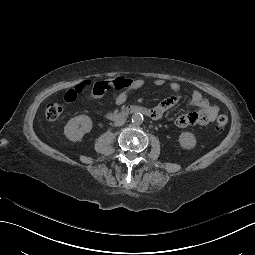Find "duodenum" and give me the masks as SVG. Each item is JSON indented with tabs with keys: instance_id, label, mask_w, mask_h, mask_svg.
<instances>
[{
	"instance_id": "duodenum-1",
	"label": "duodenum",
	"mask_w": 255,
	"mask_h": 255,
	"mask_svg": "<svg viewBox=\"0 0 255 255\" xmlns=\"http://www.w3.org/2000/svg\"><path fill=\"white\" fill-rule=\"evenodd\" d=\"M134 113H142L151 118H156V115L153 109L141 107V106H127L120 110H114L112 112H109L106 116L107 118H110V119H118V118L126 117Z\"/></svg>"
}]
</instances>
